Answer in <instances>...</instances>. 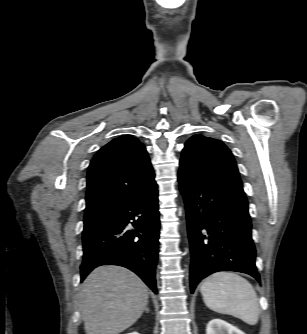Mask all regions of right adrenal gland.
Here are the masks:
<instances>
[{"label": "right adrenal gland", "instance_id": "1", "mask_svg": "<svg viewBox=\"0 0 307 334\" xmlns=\"http://www.w3.org/2000/svg\"><path fill=\"white\" fill-rule=\"evenodd\" d=\"M145 311H146L147 313H149V308H148V307H146V308H145Z\"/></svg>", "mask_w": 307, "mask_h": 334}]
</instances>
